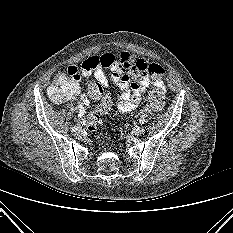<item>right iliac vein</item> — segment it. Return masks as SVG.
Masks as SVG:
<instances>
[{
    "mask_svg": "<svg viewBox=\"0 0 233 233\" xmlns=\"http://www.w3.org/2000/svg\"><path fill=\"white\" fill-rule=\"evenodd\" d=\"M75 135H76V137H78V138H82V136H83L82 133H81L80 131L77 132Z\"/></svg>",
    "mask_w": 233,
    "mask_h": 233,
    "instance_id": "1",
    "label": "right iliac vein"
}]
</instances>
